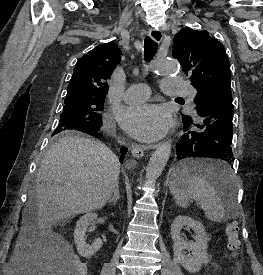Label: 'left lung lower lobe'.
<instances>
[{
    "instance_id": "0a47b994",
    "label": "left lung lower lobe",
    "mask_w": 263,
    "mask_h": 275,
    "mask_svg": "<svg viewBox=\"0 0 263 275\" xmlns=\"http://www.w3.org/2000/svg\"><path fill=\"white\" fill-rule=\"evenodd\" d=\"M233 113L231 92H220L197 109V114L201 117L200 124L182 118L184 129L176 144L175 158L179 161L194 157L217 158L230 168L229 165L234 161L231 150ZM180 171L178 169L176 174ZM197 173L216 182L223 175L221 169H200Z\"/></svg>"
}]
</instances>
